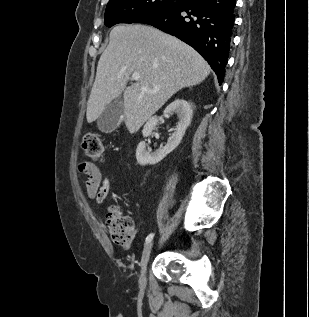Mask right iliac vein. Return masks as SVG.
Wrapping results in <instances>:
<instances>
[{"label":"right iliac vein","mask_w":309,"mask_h":317,"mask_svg":"<svg viewBox=\"0 0 309 317\" xmlns=\"http://www.w3.org/2000/svg\"><path fill=\"white\" fill-rule=\"evenodd\" d=\"M153 248V242H150L146 245V247L143 250L141 261H140V279L139 284L141 288L146 287V270H147V264L150 258V254Z\"/></svg>","instance_id":"right-iliac-vein-1"}]
</instances>
